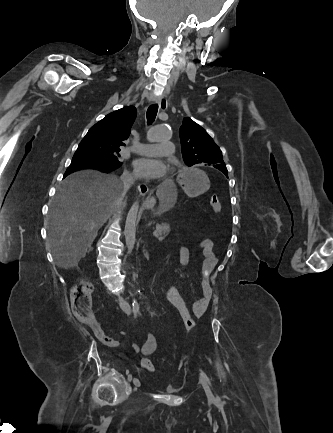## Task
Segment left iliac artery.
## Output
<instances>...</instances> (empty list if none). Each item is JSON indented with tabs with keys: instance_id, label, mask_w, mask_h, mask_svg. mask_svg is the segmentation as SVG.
<instances>
[{
	"instance_id": "1",
	"label": "left iliac artery",
	"mask_w": 333,
	"mask_h": 433,
	"mask_svg": "<svg viewBox=\"0 0 333 433\" xmlns=\"http://www.w3.org/2000/svg\"><path fill=\"white\" fill-rule=\"evenodd\" d=\"M132 305H133V310H134V312H135V313H138V312H139V305H138V303H137L136 301H134V303H133ZM201 374H202L203 377L207 380V382L210 384V380H209V378L207 377V375H206L203 371H201Z\"/></svg>"
}]
</instances>
